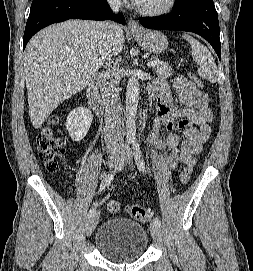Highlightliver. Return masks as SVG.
<instances>
[{
	"instance_id": "obj_1",
	"label": "liver",
	"mask_w": 253,
	"mask_h": 271,
	"mask_svg": "<svg viewBox=\"0 0 253 271\" xmlns=\"http://www.w3.org/2000/svg\"><path fill=\"white\" fill-rule=\"evenodd\" d=\"M98 22L68 20L38 32L24 53L29 115L35 129L65 100L84 89L103 65L124 46L123 28L115 25L105 40Z\"/></svg>"
}]
</instances>
